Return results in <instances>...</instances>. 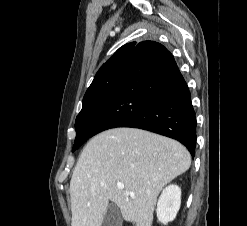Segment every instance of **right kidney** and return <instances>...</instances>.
<instances>
[{
  "instance_id": "right-kidney-1",
  "label": "right kidney",
  "mask_w": 247,
  "mask_h": 226,
  "mask_svg": "<svg viewBox=\"0 0 247 226\" xmlns=\"http://www.w3.org/2000/svg\"><path fill=\"white\" fill-rule=\"evenodd\" d=\"M181 205V189L177 185L167 186L161 193L157 203V218L167 224L175 219Z\"/></svg>"
}]
</instances>
